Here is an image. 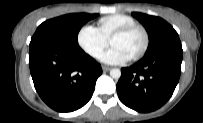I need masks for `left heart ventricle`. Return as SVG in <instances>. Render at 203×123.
<instances>
[{
    "mask_svg": "<svg viewBox=\"0 0 203 123\" xmlns=\"http://www.w3.org/2000/svg\"><path fill=\"white\" fill-rule=\"evenodd\" d=\"M144 43V37L140 30H135L127 35L115 37L111 45L120 48L129 57L140 51Z\"/></svg>",
    "mask_w": 203,
    "mask_h": 123,
    "instance_id": "obj_1",
    "label": "left heart ventricle"
}]
</instances>
